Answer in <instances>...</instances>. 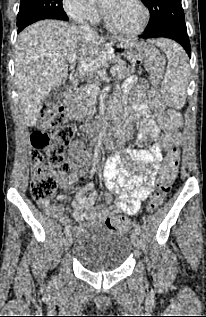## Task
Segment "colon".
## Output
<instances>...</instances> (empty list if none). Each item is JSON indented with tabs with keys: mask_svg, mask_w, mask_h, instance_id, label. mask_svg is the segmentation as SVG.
<instances>
[{
	"mask_svg": "<svg viewBox=\"0 0 206 317\" xmlns=\"http://www.w3.org/2000/svg\"><path fill=\"white\" fill-rule=\"evenodd\" d=\"M164 58L161 54H153L147 61L146 67L150 72L151 82L159 85L162 81ZM161 126L170 132L179 130L183 125L182 115L172 109L163 110ZM73 128L66 123L63 107L44 105L41 118L36 130L31 135L32 153V181L30 191L37 201L49 200L56 192L58 180L52 173L56 170L62 179L72 180L83 173L85 159L77 154L67 158L66 148L73 139ZM180 162L179 152L171 153L157 180L158 193L154 194L148 204V209L154 211L163 202L164 195L171 189L176 177ZM107 226L115 231L126 232L131 222L124 217H115L107 220Z\"/></svg>",
	"mask_w": 206,
	"mask_h": 317,
	"instance_id": "5ec220e1",
	"label": "colon"
}]
</instances>
